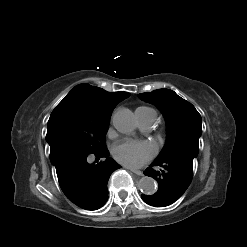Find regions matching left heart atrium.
I'll return each instance as SVG.
<instances>
[{"mask_svg":"<svg viewBox=\"0 0 247 247\" xmlns=\"http://www.w3.org/2000/svg\"><path fill=\"white\" fill-rule=\"evenodd\" d=\"M155 154L154 147L143 141L126 139L113 147L114 158L129 167H140L149 161Z\"/></svg>","mask_w":247,"mask_h":247,"instance_id":"left-heart-atrium-1","label":"left heart atrium"}]
</instances>
